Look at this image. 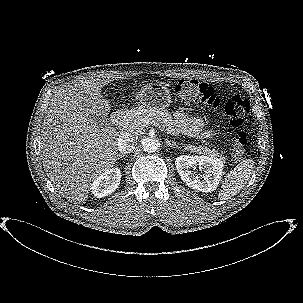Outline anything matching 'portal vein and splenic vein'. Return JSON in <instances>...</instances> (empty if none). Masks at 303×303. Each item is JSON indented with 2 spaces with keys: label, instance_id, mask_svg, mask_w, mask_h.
I'll return each instance as SVG.
<instances>
[{
  "label": "portal vein and splenic vein",
  "instance_id": "portal-vein-and-splenic-vein-1",
  "mask_svg": "<svg viewBox=\"0 0 303 303\" xmlns=\"http://www.w3.org/2000/svg\"><path fill=\"white\" fill-rule=\"evenodd\" d=\"M150 124H153L154 126L161 128V131H164V128H162L159 123L152 121Z\"/></svg>",
  "mask_w": 303,
  "mask_h": 303
}]
</instances>
